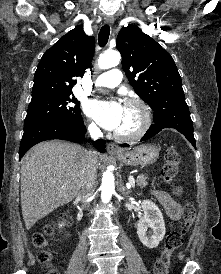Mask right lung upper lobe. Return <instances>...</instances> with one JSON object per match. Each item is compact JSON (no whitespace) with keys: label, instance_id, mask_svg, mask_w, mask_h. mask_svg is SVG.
<instances>
[{"label":"right lung upper lobe","instance_id":"1","mask_svg":"<svg viewBox=\"0 0 221 274\" xmlns=\"http://www.w3.org/2000/svg\"><path fill=\"white\" fill-rule=\"evenodd\" d=\"M94 50V37L86 35L81 25L61 37L38 64L32 99L72 93V86L77 83L73 78L83 77Z\"/></svg>","mask_w":221,"mask_h":274}]
</instances>
